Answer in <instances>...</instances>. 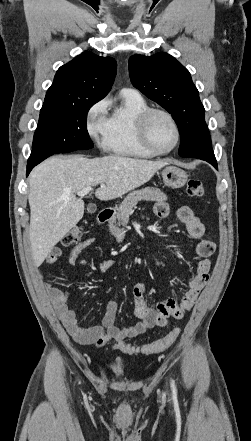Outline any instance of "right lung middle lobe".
Wrapping results in <instances>:
<instances>
[{
    "label": "right lung middle lobe",
    "mask_w": 251,
    "mask_h": 441,
    "mask_svg": "<svg viewBox=\"0 0 251 441\" xmlns=\"http://www.w3.org/2000/svg\"><path fill=\"white\" fill-rule=\"evenodd\" d=\"M99 100L101 98L91 97L74 103H44L32 152L55 154L93 148L86 120L89 109Z\"/></svg>",
    "instance_id": "right-lung-middle-lobe-1"
}]
</instances>
